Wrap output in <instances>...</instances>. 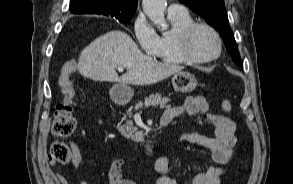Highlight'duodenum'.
I'll list each match as a JSON object with an SVG mask.
<instances>
[{"label": "duodenum", "instance_id": "duodenum-1", "mask_svg": "<svg viewBox=\"0 0 293 184\" xmlns=\"http://www.w3.org/2000/svg\"><path fill=\"white\" fill-rule=\"evenodd\" d=\"M156 143H157V141L152 140V141H149L145 144L144 153H145L146 157H151L153 155Z\"/></svg>", "mask_w": 293, "mask_h": 184}]
</instances>
